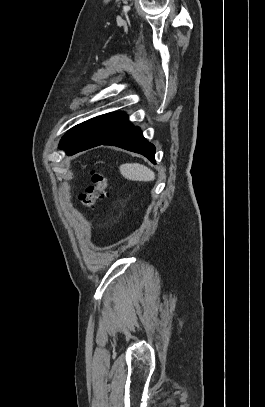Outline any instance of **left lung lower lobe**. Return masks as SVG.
Listing matches in <instances>:
<instances>
[{
  "mask_svg": "<svg viewBox=\"0 0 265 407\" xmlns=\"http://www.w3.org/2000/svg\"><path fill=\"white\" fill-rule=\"evenodd\" d=\"M112 145L117 146L132 152H136L139 154L144 155L147 157L151 162L155 164V147L153 144L149 143L142 135L141 130L137 126L131 125L130 127L126 128L122 132L118 133L117 135L113 136L112 138L108 139L105 142L94 144L90 147H83L79 149H71L66 151L67 155H73L77 152L98 146V145Z\"/></svg>",
  "mask_w": 265,
  "mask_h": 407,
  "instance_id": "1",
  "label": "left lung lower lobe"
}]
</instances>
